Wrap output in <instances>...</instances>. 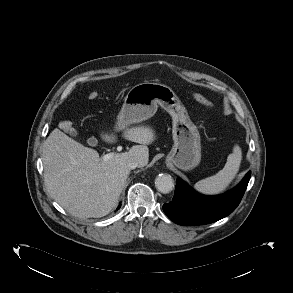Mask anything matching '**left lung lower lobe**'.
<instances>
[{
  "label": "left lung lower lobe",
  "mask_w": 293,
  "mask_h": 293,
  "mask_svg": "<svg viewBox=\"0 0 293 293\" xmlns=\"http://www.w3.org/2000/svg\"><path fill=\"white\" fill-rule=\"evenodd\" d=\"M251 177L249 171L234 189L217 196L195 192L181 179L177 180L171 202L163 205L165 214L179 225H203L228 216L240 203Z\"/></svg>",
  "instance_id": "obj_1"
}]
</instances>
